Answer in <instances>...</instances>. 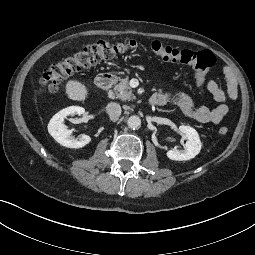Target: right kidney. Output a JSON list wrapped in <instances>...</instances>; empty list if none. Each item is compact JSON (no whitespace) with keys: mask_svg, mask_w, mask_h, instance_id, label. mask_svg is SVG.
<instances>
[{"mask_svg":"<svg viewBox=\"0 0 255 255\" xmlns=\"http://www.w3.org/2000/svg\"><path fill=\"white\" fill-rule=\"evenodd\" d=\"M85 109L80 106H70L60 110L50 120L48 124L49 134L62 146L68 148H82L90 143L91 138L88 135H81L79 139L71 136L72 131L65 128L63 122L69 115H83Z\"/></svg>","mask_w":255,"mask_h":255,"instance_id":"ca27d5eb","label":"right kidney"}]
</instances>
